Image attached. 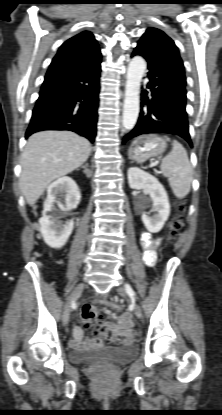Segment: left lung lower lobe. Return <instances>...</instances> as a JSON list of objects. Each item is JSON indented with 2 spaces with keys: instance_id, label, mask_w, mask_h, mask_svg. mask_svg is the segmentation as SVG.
I'll use <instances>...</instances> for the list:
<instances>
[{
  "instance_id": "0a47b994",
  "label": "left lung lower lobe",
  "mask_w": 222,
  "mask_h": 415,
  "mask_svg": "<svg viewBox=\"0 0 222 415\" xmlns=\"http://www.w3.org/2000/svg\"><path fill=\"white\" fill-rule=\"evenodd\" d=\"M140 55L148 62L146 87L142 91V109L136 125L122 143L147 133H168L182 137L190 146L186 113V77L179 55L138 42L132 56Z\"/></svg>"
}]
</instances>
